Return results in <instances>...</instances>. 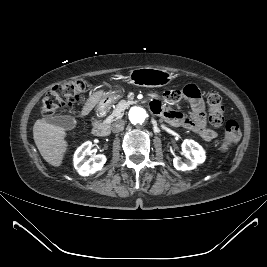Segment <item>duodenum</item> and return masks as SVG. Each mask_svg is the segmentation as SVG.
<instances>
[{"instance_id":"duodenum-1","label":"duodenum","mask_w":267,"mask_h":267,"mask_svg":"<svg viewBox=\"0 0 267 267\" xmlns=\"http://www.w3.org/2000/svg\"><path fill=\"white\" fill-rule=\"evenodd\" d=\"M108 131H109V128H108V125L105 122H103V121H101L99 119H95L93 121L92 132H93L94 135H96V136H105V135H107Z\"/></svg>"}]
</instances>
